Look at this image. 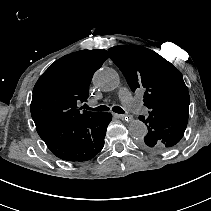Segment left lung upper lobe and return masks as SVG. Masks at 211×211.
Returning <instances> with one entry per match:
<instances>
[{"label": "left lung upper lobe", "mask_w": 211, "mask_h": 211, "mask_svg": "<svg viewBox=\"0 0 211 211\" xmlns=\"http://www.w3.org/2000/svg\"><path fill=\"white\" fill-rule=\"evenodd\" d=\"M111 59L124 74L130 89L144 92L146 116H139L148 133L141 146L165 152L182 139L189 117V92L179 70L156 52L142 46L109 49Z\"/></svg>", "instance_id": "left-lung-upper-lobe-1"}]
</instances>
